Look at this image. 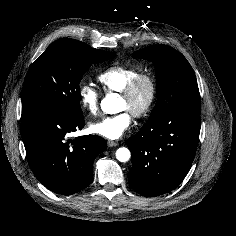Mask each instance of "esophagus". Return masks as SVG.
<instances>
[{
    "label": "esophagus",
    "instance_id": "1",
    "mask_svg": "<svg viewBox=\"0 0 236 236\" xmlns=\"http://www.w3.org/2000/svg\"><path fill=\"white\" fill-rule=\"evenodd\" d=\"M118 143L116 141H113V140H108V146L109 147H114V146H117Z\"/></svg>",
    "mask_w": 236,
    "mask_h": 236
}]
</instances>
